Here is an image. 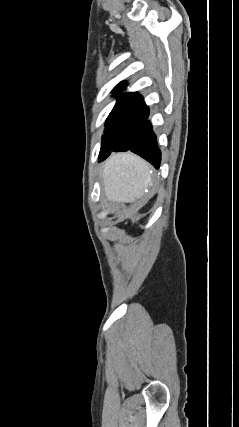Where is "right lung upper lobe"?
Returning a JSON list of instances; mask_svg holds the SVG:
<instances>
[{
	"label": "right lung upper lobe",
	"mask_w": 239,
	"mask_h": 427,
	"mask_svg": "<svg viewBox=\"0 0 239 427\" xmlns=\"http://www.w3.org/2000/svg\"><path fill=\"white\" fill-rule=\"evenodd\" d=\"M126 87V83L125 82H120L114 89H113V93H120L123 91V89ZM140 99L142 100V96L136 92H131V93H126L122 96H120L119 99Z\"/></svg>",
	"instance_id": "obj_1"
}]
</instances>
